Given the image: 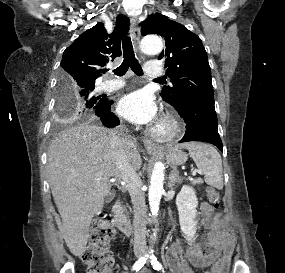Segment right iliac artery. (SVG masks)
Returning a JSON list of instances; mask_svg holds the SVG:
<instances>
[{
    "mask_svg": "<svg viewBox=\"0 0 285 273\" xmlns=\"http://www.w3.org/2000/svg\"><path fill=\"white\" fill-rule=\"evenodd\" d=\"M148 257H149L148 255H145L144 257H141L140 259H138L134 263L132 270L139 271L144 266V264L146 263V260Z\"/></svg>",
    "mask_w": 285,
    "mask_h": 273,
    "instance_id": "82829eb1",
    "label": "right iliac artery"
}]
</instances>
